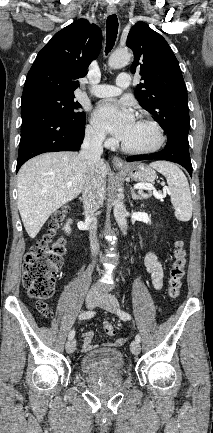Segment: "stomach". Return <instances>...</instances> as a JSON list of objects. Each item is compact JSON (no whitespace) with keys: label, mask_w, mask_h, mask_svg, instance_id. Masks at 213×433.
Here are the masks:
<instances>
[{"label":"stomach","mask_w":213,"mask_h":433,"mask_svg":"<svg viewBox=\"0 0 213 433\" xmlns=\"http://www.w3.org/2000/svg\"><path fill=\"white\" fill-rule=\"evenodd\" d=\"M120 171L128 175L135 181L152 183L156 178V173L149 166L135 163L119 168Z\"/></svg>","instance_id":"0dacf381"}]
</instances>
